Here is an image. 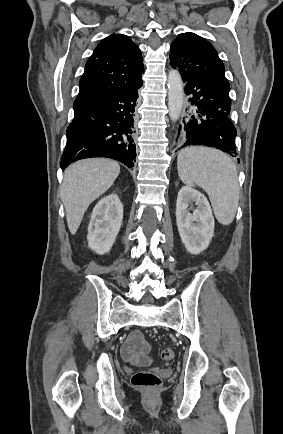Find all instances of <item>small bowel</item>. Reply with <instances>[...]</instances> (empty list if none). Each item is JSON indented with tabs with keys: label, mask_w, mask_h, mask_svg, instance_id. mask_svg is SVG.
<instances>
[{
	"label": "small bowel",
	"mask_w": 283,
	"mask_h": 434,
	"mask_svg": "<svg viewBox=\"0 0 283 434\" xmlns=\"http://www.w3.org/2000/svg\"><path fill=\"white\" fill-rule=\"evenodd\" d=\"M150 346L144 339L142 332L135 330L131 332L121 346L120 353L123 359L139 366L150 363Z\"/></svg>",
	"instance_id": "1"
}]
</instances>
